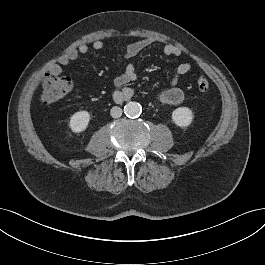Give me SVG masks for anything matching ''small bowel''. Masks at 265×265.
Returning <instances> with one entry per match:
<instances>
[{
    "instance_id": "small-bowel-1",
    "label": "small bowel",
    "mask_w": 265,
    "mask_h": 265,
    "mask_svg": "<svg viewBox=\"0 0 265 265\" xmlns=\"http://www.w3.org/2000/svg\"><path fill=\"white\" fill-rule=\"evenodd\" d=\"M153 43L154 40L152 38H144L130 43L126 46L123 52V58L125 60H130L141 53L143 50L151 46ZM92 48L96 51H101L105 48V44L102 40H95L92 43ZM88 52L89 46L87 44H80L78 47L68 50L59 58L57 63L53 64L50 67V73L54 75L62 74L64 67L68 66L72 61L77 60L80 55L87 54ZM181 53V49L174 44L165 45L163 48V54L165 56H179L181 55ZM191 67L192 66L189 62H183L176 67L171 79V85L159 93L158 98L162 103L168 105H179L183 102L184 92L178 86V82L182 75L190 72ZM136 78L137 70L135 65L133 63H128L124 69V72L114 79V84L117 87H122L136 80ZM133 93V89L123 88L116 93L115 97L118 100H123L131 97Z\"/></svg>"
}]
</instances>
